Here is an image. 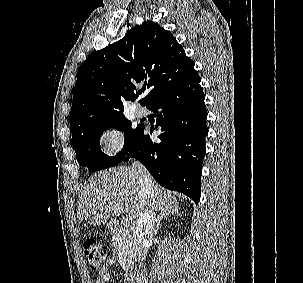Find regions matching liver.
Segmentation results:
<instances>
[{
  "label": "liver",
  "instance_id": "obj_1",
  "mask_svg": "<svg viewBox=\"0 0 303 283\" xmlns=\"http://www.w3.org/2000/svg\"><path fill=\"white\" fill-rule=\"evenodd\" d=\"M138 177V171L127 166L110 168L92 176L79 195L78 221L105 224L110 218V212L119 209V213L126 214L130 225L135 227L140 205ZM152 182L153 213L162 214L178 209L177 193L165 190L154 180Z\"/></svg>",
  "mask_w": 303,
  "mask_h": 283
}]
</instances>
